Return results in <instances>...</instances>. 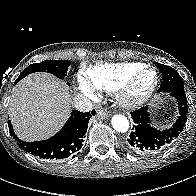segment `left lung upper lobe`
<instances>
[{
    "label": "left lung upper lobe",
    "mask_w": 196,
    "mask_h": 196,
    "mask_svg": "<svg viewBox=\"0 0 196 196\" xmlns=\"http://www.w3.org/2000/svg\"><path fill=\"white\" fill-rule=\"evenodd\" d=\"M156 65H157L158 68L162 67V68H170V69H173V68H171V67H169V66L162 65V64H160V63H156ZM159 70H160V69H159ZM175 71H176V70H175ZM160 72H161V71H160ZM176 73H177V78H178L177 82H179V84H178L179 87H178V88L184 89V87H183V82H182V78H181V76L178 74L177 71H176ZM165 84H168V83H166V82H164V81L161 83V86H160V87H161V90L164 91V92L172 91L171 88L165 86Z\"/></svg>",
    "instance_id": "5c2ea615"
}]
</instances>
